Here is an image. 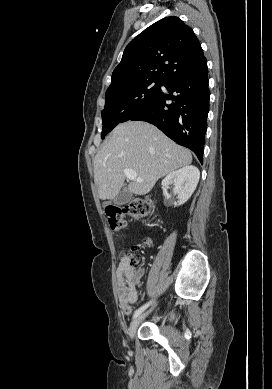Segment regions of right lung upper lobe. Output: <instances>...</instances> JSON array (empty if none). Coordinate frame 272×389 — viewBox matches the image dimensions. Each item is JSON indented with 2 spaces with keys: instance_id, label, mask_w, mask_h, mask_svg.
I'll use <instances>...</instances> for the list:
<instances>
[{
  "instance_id": "obj_1",
  "label": "right lung upper lobe",
  "mask_w": 272,
  "mask_h": 389,
  "mask_svg": "<svg viewBox=\"0 0 272 389\" xmlns=\"http://www.w3.org/2000/svg\"><path fill=\"white\" fill-rule=\"evenodd\" d=\"M203 58L193 30L178 17H166L126 46L107 91L150 79L166 82Z\"/></svg>"
}]
</instances>
